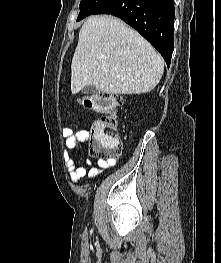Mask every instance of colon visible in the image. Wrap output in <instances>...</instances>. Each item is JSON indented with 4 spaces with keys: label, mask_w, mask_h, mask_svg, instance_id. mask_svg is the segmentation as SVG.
Returning a JSON list of instances; mask_svg holds the SVG:
<instances>
[{
    "label": "colon",
    "mask_w": 221,
    "mask_h": 263,
    "mask_svg": "<svg viewBox=\"0 0 221 263\" xmlns=\"http://www.w3.org/2000/svg\"><path fill=\"white\" fill-rule=\"evenodd\" d=\"M79 104L102 114L89 129L91 154L107 160L119 157L121 144L117 133V111L122 106L121 97L110 93L83 95L79 98Z\"/></svg>",
    "instance_id": "obj_1"
}]
</instances>
